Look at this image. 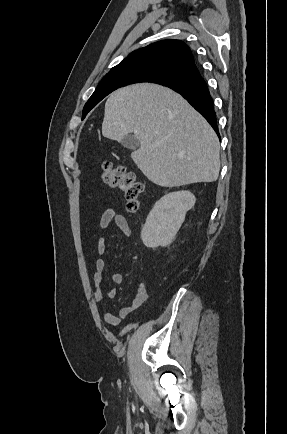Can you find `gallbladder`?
Instances as JSON below:
<instances>
[{
    "label": "gallbladder",
    "mask_w": 287,
    "mask_h": 434,
    "mask_svg": "<svg viewBox=\"0 0 287 434\" xmlns=\"http://www.w3.org/2000/svg\"><path fill=\"white\" fill-rule=\"evenodd\" d=\"M121 144L130 150H136L139 147L138 139L132 134L124 136L121 140Z\"/></svg>",
    "instance_id": "1"
}]
</instances>
